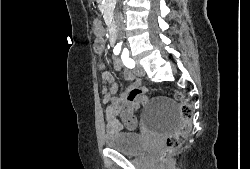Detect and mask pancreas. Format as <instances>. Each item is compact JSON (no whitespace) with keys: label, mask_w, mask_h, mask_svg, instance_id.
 I'll use <instances>...</instances> for the list:
<instances>
[{"label":"pancreas","mask_w":250,"mask_h":169,"mask_svg":"<svg viewBox=\"0 0 250 169\" xmlns=\"http://www.w3.org/2000/svg\"><path fill=\"white\" fill-rule=\"evenodd\" d=\"M114 0H105L104 4H101V10L102 12H107L109 8H111Z\"/></svg>","instance_id":"pancreas-1"}]
</instances>
